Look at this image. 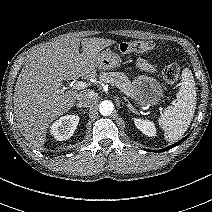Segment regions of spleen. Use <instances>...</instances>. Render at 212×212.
I'll return each instance as SVG.
<instances>
[{
	"label": "spleen",
	"mask_w": 212,
	"mask_h": 212,
	"mask_svg": "<svg viewBox=\"0 0 212 212\" xmlns=\"http://www.w3.org/2000/svg\"><path fill=\"white\" fill-rule=\"evenodd\" d=\"M176 103L167 107L158 123L164 131L167 141L179 140L187 131L196 109V87L192 72L182 71L181 84L176 93Z\"/></svg>",
	"instance_id": "spleen-1"
}]
</instances>
